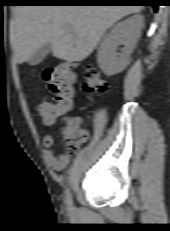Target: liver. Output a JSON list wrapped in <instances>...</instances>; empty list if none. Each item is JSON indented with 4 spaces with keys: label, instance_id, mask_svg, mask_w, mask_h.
Here are the masks:
<instances>
[{
    "label": "liver",
    "instance_id": "obj_1",
    "mask_svg": "<svg viewBox=\"0 0 170 231\" xmlns=\"http://www.w3.org/2000/svg\"><path fill=\"white\" fill-rule=\"evenodd\" d=\"M143 10L140 5L18 6L11 23V42L18 63L28 61L45 43L54 57L83 61L114 23Z\"/></svg>",
    "mask_w": 170,
    "mask_h": 231
}]
</instances>
